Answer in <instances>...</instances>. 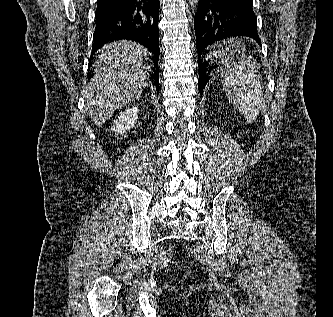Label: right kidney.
<instances>
[{
	"label": "right kidney",
	"mask_w": 333,
	"mask_h": 317,
	"mask_svg": "<svg viewBox=\"0 0 333 317\" xmlns=\"http://www.w3.org/2000/svg\"><path fill=\"white\" fill-rule=\"evenodd\" d=\"M138 114L139 108L137 106L126 109L113 122L111 130L116 134H125L135 126Z\"/></svg>",
	"instance_id": "right-kidney-1"
}]
</instances>
